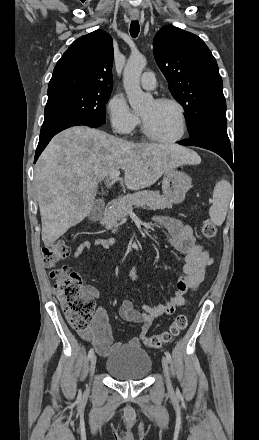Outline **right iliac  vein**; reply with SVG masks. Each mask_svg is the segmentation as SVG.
Instances as JSON below:
<instances>
[{
	"label": "right iliac vein",
	"instance_id": "right-iliac-vein-1",
	"mask_svg": "<svg viewBox=\"0 0 259 440\" xmlns=\"http://www.w3.org/2000/svg\"><path fill=\"white\" fill-rule=\"evenodd\" d=\"M96 356L92 355L91 359H90V376L92 377L95 371V367H96Z\"/></svg>",
	"mask_w": 259,
	"mask_h": 440
}]
</instances>
